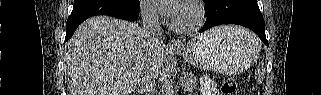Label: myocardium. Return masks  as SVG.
I'll use <instances>...</instances> for the list:
<instances>
[{
    "mask_svg": "<svg viewBox=\"0 0 321 95\" xmlns=\"http://www.w3.org/2000/svg\"><path fill=\"white\" fill-rule=\"evenodd\" d=\"M183 7L192 11L194 19L186 26L180 25L174 18L170 21V27L172 30L181 33L189 34L197 31L205 21V8L201 1L190 0L183 4Z\"/></svg>",
    "mask_w": 321,
    "mask_h": 95,
    "instance_id": "1",
    "label": "myocardium"
}]
</instances>
